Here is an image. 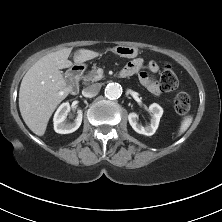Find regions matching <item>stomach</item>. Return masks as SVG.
I'll use <instances>...</instances> for the list:
<instances>
[{"mask_svg":"<svg viewBox=\"0 0 222 222\" xmlns=\"http://www.w3.org/2000/svg\"><path fill=\"white\" fill-rule=\"evenodd\" d=\"M114 52L120 57L135 58L138 55V49L133 46L120 45L114 48ZM81 64L82 63H78Z\"/></svg>","mask_w":222,"mask_h":222,"instance_id":"0dacf381","label":"stomach"}]
</instances>
